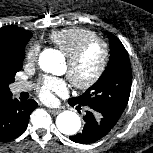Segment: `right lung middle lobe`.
Instances as JSON below:
<instances>
[{"label": "right lung middle lobe", "mask_w": 153, "mask_h": 153, "mask_svg": "<svg viewBox=\"0 0 153 153\" xmlns=\"http://www.w3.org/2000/svg\"><path fill=\"white\" fill-rule=\"evenodd\" d=\"M24 55L25 48L0 52V86L7 91L9 84L15 80V74L22 69Z\"/></svg>", "instance_id": "1"}]
</instances>
